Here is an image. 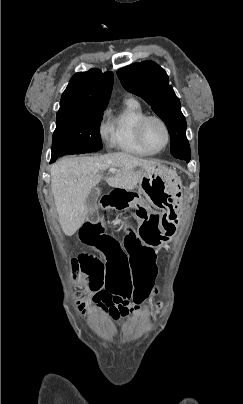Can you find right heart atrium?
Here are the masks:
<instances>
[{
    "label": "right heart atrium",
    "mask_w": 243,
    "mask_h": 404,
    "mask_svg": "<svg viewBox=\"0 0 243 404\" xmlns=\"http://www.w3.org/2000/svg\"><path fill=\"white\" fill-rule=\"evenodd\" d=\"M97 135L101 144L106 150H112L115 148L109 109L103 110L99 117L97 122Z\"/></svg>",
    "instance_id": "d8ad5b80"
}]
</instances>
